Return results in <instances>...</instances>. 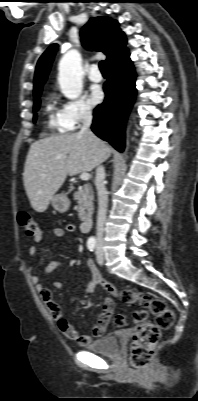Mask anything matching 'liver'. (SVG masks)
<instances>
[{
    "instance_id": "liver-1",
    "label": "liver",
    "mask_w": 198,
    "mask_h": 401,
    "mask_svg": "<svg viewBox=\"0 0 198 401\" xmlns=\"http://www.w3.org/2000/svg\"><path fill=\"white\" fill-rule=\"evenodd\" d=\"M110 153L111 148L105 142L80 132L50 136L32 143L23 182L33 209L44 212L67 175L91 171Z\"/></svg>"
}]
</instances>
